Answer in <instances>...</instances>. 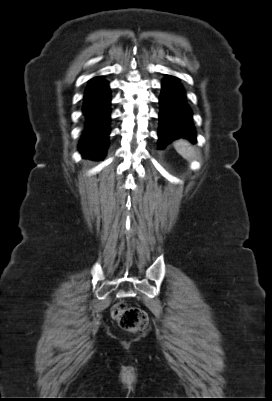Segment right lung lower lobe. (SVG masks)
<instances>
[{
    "instance_id": "98d812e1",
    "label": "right lung lower lobe",
    "mask_w": 272,
    "mask_h": 401,
    "mask_svg": "<svg viewBox=\"0 0 272 401\" xmlns=\"http://www.w3.org/2000/svg\"><path fill=\"white\" fill-rule=\"evenodd\" d=\"M83 112L87 117L86 131L79 149L85 158L99 160L108 147L110 90L101 77L90 80L85 96Z\"/></svg>"
}]
</instances>
